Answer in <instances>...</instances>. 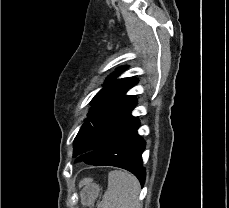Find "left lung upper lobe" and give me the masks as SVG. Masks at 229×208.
I'll list each match as a JSON object with an SVG mask.
<instances>
[{
    "label": "left lung upper lobe",
    "mask_w": 229,
    "mask_h": 208,
    "mask_svg": "<svg viewBox=\"0 0 229 208\" xmlns=\"http://www.w3.org/2000/svg\"><path fill=\"white\" fill-rule=\"evenodd\" d=\"M125 69L126 67H120L109 76L105 82L106 86L92 99L93 106L75 137L74 147L99 131L117 128L128 130L138 122V119L131 115L137 105V99L135 96L125 95L138 80L134 77L115 80Z\"/></svg>",
    "instance_id": "5c2ea615"
}]
</instances>
